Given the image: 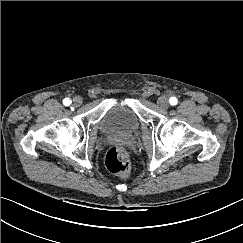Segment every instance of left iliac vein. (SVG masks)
Listing matches in <instances>:
<instances>
[{
	"label": "left iliac vein",
	"mask_w": 243,
	"mask_h": 243,
	"mask_svg": "<svg viewBox=\"0 0 243 243\" xmlns=\"http://www.w3.org/2000/svg\"><path fill=\"white\" fill-rule=\"evenodd\" d=\"M157 103L161 108H164V109L168 108V106H169V100L165 96L159 97L157 100Z\"/></svg>",
	"instance_id": "4c4485c4"
}]
</instances>
